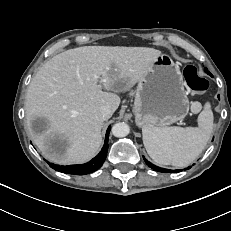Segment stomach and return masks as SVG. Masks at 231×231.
I'll return each instance as SVG.
<instances>
[{"mask_svg":"<svg viewBox=\"0 0 231 231\" xmlns=\"http://www.w3.org/2000/svg\"><path fill=\"white\" fill-rule=\"evenodd\" d=\"M134 95L133 112L140 127H167L189 111L181 71L166 54H161L138 81Z\"/></svg>","mask_w":231,"mask_h":231,"instance_id":"0dacf381","label":"stomach"}]
</instances>
